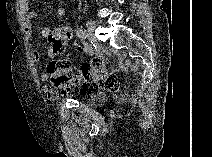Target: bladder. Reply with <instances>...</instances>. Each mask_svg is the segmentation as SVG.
Wrapping results in <instances>:
<instances>
[{"label": "bladder", "mask_w": 212, "mask_h": 157, "mask_svg": "<svg viewBox=\"0 0 212 157\" xmlns=\"http://www.w3.org/2000/svg\"><path fill=\"white\" fill-rule=\"evenodd\" d=\"M106 101L107 95L105 93L93 91L85 95V104L93 108L102 107Z\"/></svg>", "instance_id": "obj_1"}]
</instances>
